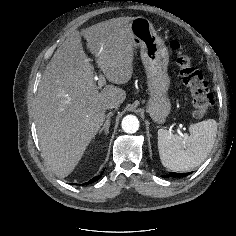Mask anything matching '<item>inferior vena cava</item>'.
Returning a JSON list of instances; mask_svg holds the SVG:
<instances>
[{
  "label": "inferior vena cava",
  "instance_id": "obj_1",
  "mask_svg": "<svg viewBox=\"0 0 236 236\" xmlns=\"http://www.w3.org/2000/svg\"><path fill=\"white\" fill-rule=\"evenodd\" d=\"M118 104L117 103H108L106 105V109H113V108H117Z\"/></svg>",
  "mask_w": 236,
  "mask_h": 236
}]
</instances>
